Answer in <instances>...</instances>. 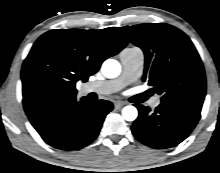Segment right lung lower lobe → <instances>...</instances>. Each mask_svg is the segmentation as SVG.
<instances>
[{
    "mask_svg": "<svg viewBox=\"0 0 220 173\" xmlns=\"http://www.w3.org/2000/svg\"><path fill=\"white\" fill-rule=\"evenodd\" d=\"M113 104L106 100L97 103L76 95L44 105L27 114L31 124L52 147L71 151L81 149L98 136L106 115Z\"/></svg>",
    "mask_w": 220,
    "mask_h": 173,
    "instance_id": "98d812e1",
    "label": "right lung lower lobe"
}]
</instances>
